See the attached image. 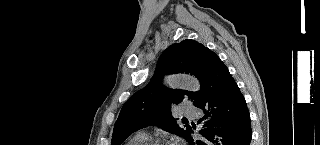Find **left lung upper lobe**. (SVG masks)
<instances>
[{"label":"left lung upper lobe","mask_w":320,"mask_h":145,"mask_svg":"<svg viewBox=\"0 0 320 145\" xmlns=\"http://www.w3.org/2000/svg\"><path fill=\"white\" fill-rule=\"evenodd\" d=\"M217 59L219 57L213 51L195 40L186 39L165 49L152 80L122 107L111 145H120L134 131L149 125L160 126L186 139L191 127H180L171 114V107L184 98H190L196 105L200 91L169 89L162 85L161 80L165 74L189 73L201 83L205 72Z\"/></svg>","instance_id":"obj_1"}]
</instances>
